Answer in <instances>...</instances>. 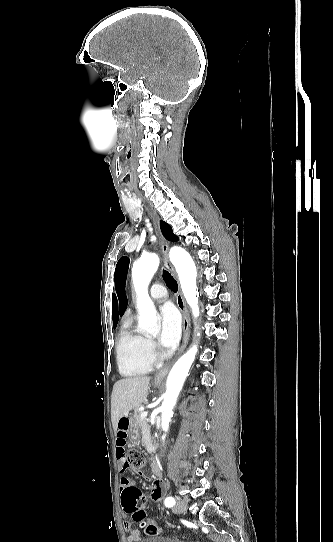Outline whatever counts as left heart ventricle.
Masks as SVG:
<instances>
[{
  "mask_svg": "<svg viewBox=\"0 0 333 542\" xmlns=\"http://www.w3.org/2000/svg\"><path fill=\"white\" fill-rule=\"evenodd\" d=\"M150 338H151L154 342H155V340H158L157 335H152V336H150ZM159 348H160V350H161L162 352L166 353L160 346H159Z\"/></svg>",
  "mask_w": 333,
  "mask_h": 542,
  "instance_id": "1",
  "label": "left heart ventricle"
}]
</instances>
